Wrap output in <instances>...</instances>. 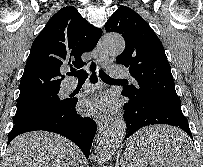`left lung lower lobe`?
<instances>
[{"mask_svg": "<svg viewBox=\"0 0 203 167\" xmlns=\"http://www.w3.org/2000/svg\"><path fill=\"white\" fill-rule=\"evenodd\" d=\"M124 109V119L126 120L127 126V136L125 138H128L142 127L154 124H167L181 128L193 140L188 120L183 115L181 110V103L179 102H170L163 103L157 106H151L148 103L129 101L124 105ZM190 138L187 137V141L180 144L183 150H189L191 148ZM157 144V140L144 139L139 142L138 148L155 147Z\"/></svg>", "mask_w": 203, "mask_h": 167, "instance_id": "left-lung-lower-lobe-1", "label": "left lung lower lobe"}]
</instances>
